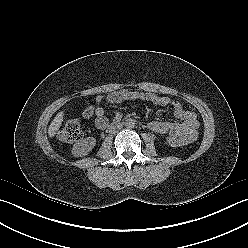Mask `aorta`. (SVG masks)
I'll return each mask as SVG.
<instances>
[{"label": "aorta", "mask_w": 248, "mask_h": 248, "mask_svg": "<svg viewBox=\"0 0 248 248\" xmlns=\"http://www.w3.org/2000/svg\"><path fill=\"white\" fill-rule=\"evenodd\" d=\"M135 124H136V121L134 119H127L124 123L125 127L128 128V129H132L135 127Z\"/></svg>", "instance_id": "762f6f07"}]
</instances>
